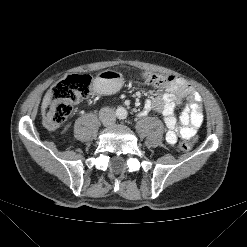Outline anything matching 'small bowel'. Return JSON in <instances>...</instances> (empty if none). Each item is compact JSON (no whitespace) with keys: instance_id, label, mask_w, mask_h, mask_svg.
Returning a JSON list of instances; mask_svg holds the SVG:
<instances>
[{"instance_id":"c3829d8e","label":"small bowel","mask_w":247,"mask_h":247,"mask_svg":"<svg viewBox=\"0 0 247 247\" xmlns=\"http://www.w3.org/2000/svg\"><path fill=\"white\" fill-rule=\"evenodd\" d=\"M188 97V104L182 105L181 99ZM181 105L179 116L175 114L177 106ZM150 111L162 114L166 125L165 139L175 144L179 138L190 139L198 131L203 121V110L200 95L182 79H176L161 96L149 98L144 102L142 115Z\"/></svg>"}]
</instances>
